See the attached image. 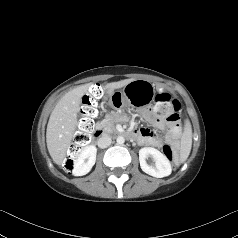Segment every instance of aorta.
<instances>
[{
	"instance_id": "762f6f07",
	"label": "aorta",
	"mask_w": 238,
	"mask_h": 238,
	"mask_svg": "<svg viewBox=\"0 0 238 238\" xmlns=\"http://www.w3.org/2000/svg\"><path fill=\"white\" fill-rule=\"evenodd\" d=\"M116 141L119 145H122L125 142V139L122 136H118Z\"/></svg>"
}]
</instances>
